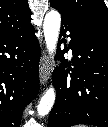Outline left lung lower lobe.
<instances>
[{
	"mask_svg": "<svg viewBox=\"0 0 108 127\" xmlns=\"http://www.w3.org/2000/svg\"><path fill=\"white\" fill-rule=\"evenodd\" d=\"M51 7L62 15L59 44L69 33V48L75 55L69 69H65L68 61L64 54L68 49L61 50L58 45L56 57L63 62L53 72L57 98L48 127H108V33L66 16L59 6Z\"/></svg>",
	"mask_w": 108,
	"mask_h": 127,
	"instance_id": "left-lung-lower-lobe-1",
	"label": "left lung lower lobe"
}]
</instances>
